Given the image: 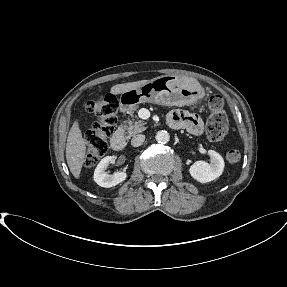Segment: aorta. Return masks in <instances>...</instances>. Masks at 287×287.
I'll list each match as a JSON object with an SVG mask.
<instances>
[{"mask_svg": "<svg viewBox=\"0 0 287 287\" xmlns=\"http://www.w3.org/2000/svg\"><path fill=\"white\" fill-rule=\"evenodd\" d=\"M155 139L158 143L165 144V143L169 142L170 135L167 131L161 130V131L157 132Z\"/></svg>", "mask_w": 287, "mask_h": 287, "instance_id": "1", "label": "aorta"}]
</instances>
